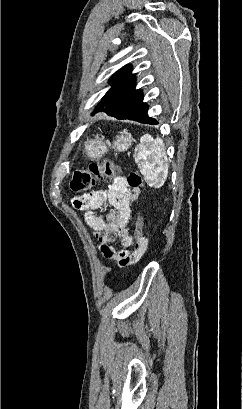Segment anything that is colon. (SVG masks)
I'll return each instance as SVG.
<instances>
[{"instance_id":"colon-1","label":"colon","mask_w":243,"mask_h":409,"mask_svg":"<svg viewBox=\"0 0 243 409\" xmlns=\"http://www.w3.org/2000/svg\"><path fill=\"white\" fill-rule=\"evenodd\" d=\"M120 168L112 161H93L87 169L76 170L70 181V188L74 192H85L91 190L97 181L102 179L114 180L119 179ZM130 188L139 189L142 186V177L137 172H130L126 178ZM144 222L143 218L139 216L135 234L133 249L138 251L144 240L143 234Z\"/></svg>"}]
</instances>
